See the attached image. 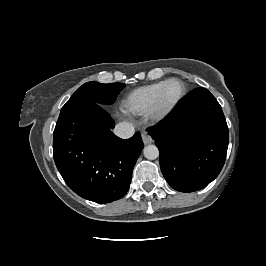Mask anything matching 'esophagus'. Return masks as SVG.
I'll return each instance as SVG.
<instances>
[{
    "label": "esophagus",
    "instance_id": "1",
    "mask_svg": "<svg viewBox=\"0 0 266 266\" xmlns=\"http://www.w3.org/2000/svg\"><path fill=\"white\" fill-rule=\"evenodd\" d=\"M142 140L145 145L150 144L153 141L151 136L146 132L142 133Z\"/></svg>",
    "mask_w": 266,
    "mask_h": 266
}]
</instances>
